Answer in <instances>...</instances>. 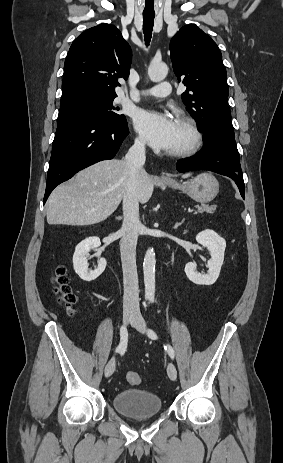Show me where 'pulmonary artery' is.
Returning a JSON list of instances; mask_svg holds the SVG:
<instances>
[{"label": "pulmonary artery", "instance_id": "obj_1", "mask_svg": "<svg viewBox=\"0 0 283 463\" xmlns=\"http://www.w3.org/2000/svg\"><path fill=\"white\" fill-rule=\"evenodd\" d=\"M171 86L167 82H163L157 86L146 88L140 91V95L143 97H157L165 98L170 95Z\"/></svg>", "mask_w": 283, "mask_h": 463}]
</instances>
